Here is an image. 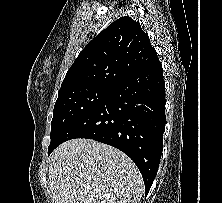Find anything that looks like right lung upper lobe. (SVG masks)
I'll use <instances>...</instances> for the list:
<instances>
[{
  "mask_svg": "<svg viewBox=\"0 0 222 203\" xmlns=\"http://www.w3.org/2000/svg\"><path fill=\"white\" fill-rule=\"evenodd\" d=\"M157 59L156 50L141 25L124 16L85 46L60 89L77 86L114 88L123 78Z\"/></svg>",
  "mask_w": 222,
  "mask_h": 203,
  "instance_id": "1",
  "label": "right lung upper lobe"
}]
</instances>
